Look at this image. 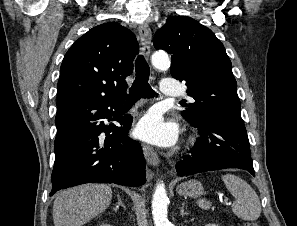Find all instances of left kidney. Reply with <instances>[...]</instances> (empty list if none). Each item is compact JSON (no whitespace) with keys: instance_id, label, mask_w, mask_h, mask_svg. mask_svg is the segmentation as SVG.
Masks as SVG:
<instances>
[{"instance_id":"5707ae66","label":"left kidney","mask_w":297,"mask_h":226,"mask_svg":"<svg viewBox=\"0 0 297 226\" xmlns=\"http://www.w3.org/2000/svg\"><path fill=\"white\" fill-rule=\"evenodd\" d=\"M205 226H218L217 224H207V225H205Z\"/></svg>"}]
</instances>
